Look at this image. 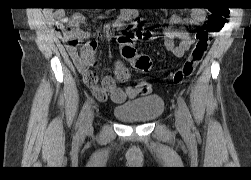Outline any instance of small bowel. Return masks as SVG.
<instances>
[{"label":"small bowel","instance_id":"small-bowel-1","mask_svg":"<svg viewBox=\"0 0 251 180\" xmlns=\"http://www.w3.org/2000/svg\"><path fill=\"white\" fill-rule=\"evenodd\" d=\"M139 12L135 8L122 9L117 18L112 22V26L119 30L126 24L138 19ZM51 21L56 25L66 24L62 27L66 49L75 62L82 75L84 83L91 89L95 98L105 101L109 97L115 103H123L126 99H134L138 96H146L151 93V85L148 82H139L135 86L119 87L118 83L126 82L129 73L122 61L115 65V77L106 76L98 83L96 74L91 71L97 65L95 51L97 43L89 41L81 47L80 53L77 46L79 42L89 38V33L82 29L86 22V17L80 13L67 15L64 10H56L49 13ZM206 12L202 8H194L191 16L184 19L179 15H173L170 19L168 28L164 32V45L166 49L175 57L182 58L190 49L193 39L191 33L178 26L185 24L199 26L204 23Z\"/></svg>","mask_w":251,"mask_h":180}]
</instances>
